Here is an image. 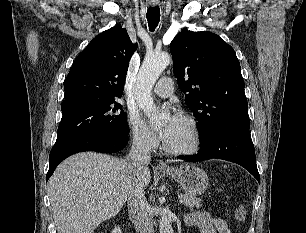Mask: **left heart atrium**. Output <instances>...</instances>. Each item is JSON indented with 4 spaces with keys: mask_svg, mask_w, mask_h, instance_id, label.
<instances>
[{
    "mask_svg": "<svg viewBox=\"0 0 306 233\" xmlns=\"http://www.w3.org/2000/svg\"><path fill=\"white\" fill-rule=\"evenodd\" d=\"M179 120H180L179 115L172 114L168 118V120L164 123V125L158 130V135L163 141H166L170 137L171 133L177 126Z\"/></svg>",
    "mask_w": 306,
    "mask_h": 233,
    "instance_id": "39dd6f15",
    "label": "left heart atrium"
}]
</instances>
